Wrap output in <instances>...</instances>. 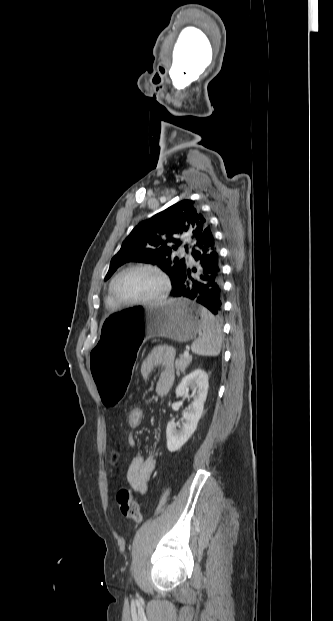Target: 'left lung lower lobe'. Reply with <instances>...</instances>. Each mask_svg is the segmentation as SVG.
<instances>
[{
	"label": "left lung lower lobe",
	"instance_id": "left-lung-lower-lobe-1",
	"mask_svg": "<svg viewBox=\"0 0 333 621\" xmlns=\"http://www.w3.org/2000/svg\"><path fill=\"white\" fill-rule=\"evenodd\" d=\"M196 267L182 269L176 278L172 297L188 298L220 315L223 308L222 269L218 249L209 227L205 228L190 253ZM194 275V277L191 276Z\"/></svg>",
	"mask_w": 333,
	"mask_h": 621
}]
</instances>
